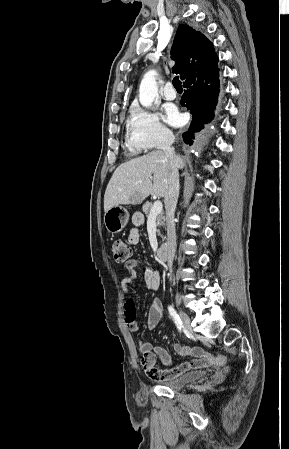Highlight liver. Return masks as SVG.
Here are the masks:
<instances>
[{"label":"liver","instance_id":"liver-1","mask_svg":"<svg viewBox=\"0 0 289 449\" xmlns=\"http://www.w3.org/2000/svg\"><path fill=\"white\" fill-rule=\"evenodd\" d=\"M177 168L182 169L181 156L175 155ZM169 159L161 151L131 159L114 171L104 195V211L117 205L141 204L149 195L165 197L168 191ZM142 181L140 183L139 181Z\"/></svg>","mask_w":289,"mask_h":449}]
</instances>
